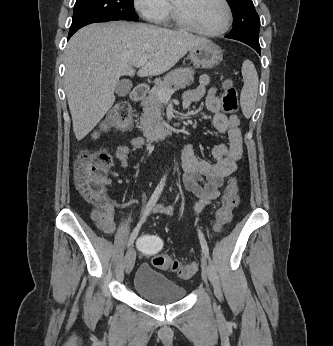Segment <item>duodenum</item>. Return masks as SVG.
<instances>
[{
	"mask_svg": "<svg viewBox=\"0 0 333 346\" xmlns=\"http://www.w3.org/2000/svg\"><path fill=\"white\" fill-rule=\"evenodd\" d=\"M147 94V88L144 85H137L132 93L131 99L135 102H139L145 98ZM174 134V128L172 126L163 127L160 129H145L144 136L149 142L163 141Z\"/></svg>",
	"mask_w": 333,
	"mask_h": 346,
	"instance_id": "obj_1",
	"label": "duodenum"
}]
</instances>
